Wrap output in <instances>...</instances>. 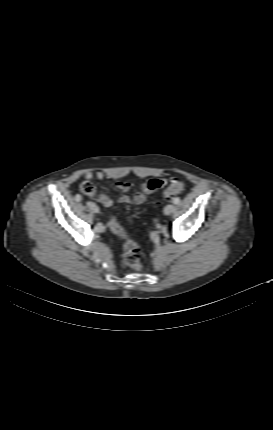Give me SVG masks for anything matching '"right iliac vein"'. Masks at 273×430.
<instances>
[{
	"label": "right iliac vein",
	"instance_id": "obj_1",
	"mask_svg": "<svg viewBox=\"0 0 273 430\" xmlns=\"http://www.w3.org/2000/svg\"><path fill=\"white\" fill-rule=\"evenodd\" d=\"M89 208L94 213H99V211H100L99 207L93 202H91V204L89 205Z\"/></svg>",
	"mask_w": 273,
	"mask_h": 430
}]
</instances>
